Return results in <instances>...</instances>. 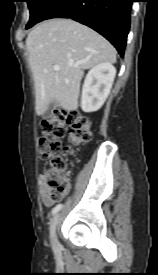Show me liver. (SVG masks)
I'll use <instances>...</instances> for the list:
<instances>
[{"label":"liver","mask_w":158,"mask_h":275,"mask_svg":"<svg viewBox=\"0 0 158 275\" xmlns=\"http://www.w3.org/2000/svg\"><path fill=\"white\" fill-rule=\"evenodd\" d=\"M26 47L39 116L52 101L67 111L77 110L84 70L116 61V50L104 37L71 19L40 23L28 34ZM54 65L60 69L55 71Z\"/></svg>","instance_id":"6515ba94"}]
</instances>
